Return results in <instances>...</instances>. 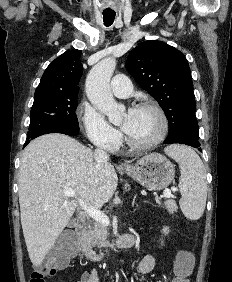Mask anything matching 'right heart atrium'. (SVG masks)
Instances as JSON below:
<instances>
[{
	"instance_id": "d8ad5b80",
	"label": "right heart atrium",
	"mask_w": 232,
	"mask_h": 282,
	"mask_svg": "<svg viewBox=\"0 0 232 282\" xmlns=\"http://www.w3.org/2000/svg\"><path fill=\"white\" fill-rule=\"evenodd\" d=\"M82 128L88 139L106 150H115L120 141L119 132L112 127L103 116L87 102H83L78 110Z\"/></svg>"
}]
</instances>
